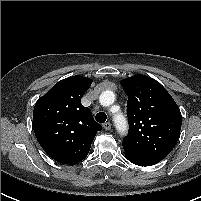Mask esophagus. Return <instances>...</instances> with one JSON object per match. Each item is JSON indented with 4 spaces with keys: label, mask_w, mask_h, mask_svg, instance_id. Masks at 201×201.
Masks as SVG:
<instances>
[{
    "label": "esophagus",
    "mask_w": 201,
    "mask_h": 201,
    "mask_svg": "<svg viewBox=\"0 0 201 201\" xmlns=\"http://www.w3.org/2000/svg\"><path fill=\"white\" fill-rule=\"evenodd\" d=\"M103 128L105 129V130H110L111 129V123H109V122H106V123H104L103 124Z\"/></svg>",
    "instance_id": "esophagus-1"
}]
</instances>
